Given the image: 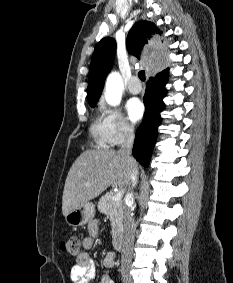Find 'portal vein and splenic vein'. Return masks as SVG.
Listing matches in <instances>:
<instances>
[{
	"mask_svg": "<svg viewBox=\"0 0 233 283\" xmlns=\"http://www.w3.org/2000/svg\"><path fill=\"white\" fill-rule=\"evenodd\" d=\"M123 197V192L122 191H118L117 193L114 194L113 196V200L114 201H119L121 200Z\"/></svg>",
	"mask_w": 233,
	"mask_h": 283,
	"instance_id": "obj_1",
	"label": "portal vein and splenic vein"
}]
</instances>
